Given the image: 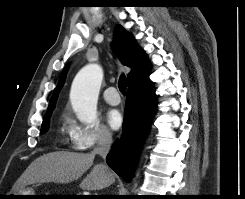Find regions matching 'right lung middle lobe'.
Masks as SVG:
<instances>
[{
  "instance_id": "right-lung-middle-lobe-1",
  "label": "right lung middle lobe",
  "mask_w": 245,
  "mask_h": 199,
  "mask_svg": "<svg viewBox=\"0 0 245 199\" xmlns=\"http://www.w3.org/2000/svg\"><path fill=\"white\" fill-rule=\"evenodd\" d=\"M51 114L45 116L43 118V123H42V127H41V133H44L48 130V124H49V118H50Z\"/></svg>"
}]
</instances>
